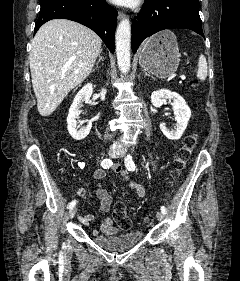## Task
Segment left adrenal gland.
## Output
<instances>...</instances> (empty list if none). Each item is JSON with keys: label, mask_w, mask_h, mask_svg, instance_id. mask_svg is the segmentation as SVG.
<instances>
[{"label": "left adrenal gland", "mask_w": 240, "mask_h": 281, "mask_svg": "<svg viewBox=\"0 0 240 281\" xmlns=\"http://www.w3.org/2000/svg\"><path fill=\"white\" fill-rule=\"evenodd\" d=\"M145 76L151 77L152 79H155L153 76H151L150 74H148L147 72L144 71Z\"/></svg>", "instance_id": "1"}]
</instances>
